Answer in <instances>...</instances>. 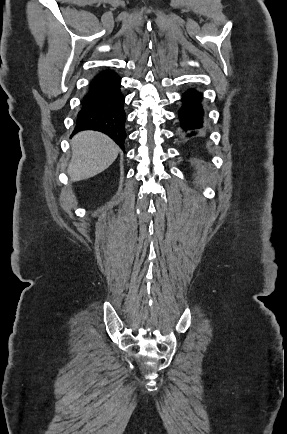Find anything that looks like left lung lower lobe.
I'll list each match as a JSON object with an SVG mask.
<instances>
[{"mask_svg": "<svg viewBox=\"0 0 287 434\" xmlns=\"http://www.w3.org/2000/svg\"><path fill=\"white\" fill-rule=\"evenodd\" d=\"M202 95L194 89L183 94V105L178 112L180 137L189 144L199 143L204 136V110Z\"/></svg>", "mask_w": 287, "mask_h": 434, "instance_id": "1", "label": "left lung lower lobe"}]
</instances>
